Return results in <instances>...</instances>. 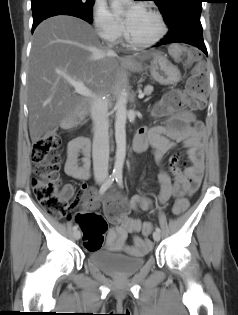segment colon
<instances>
[{
    "label": "colon",
    "mask_w": 238,
    "mask_h": 315,
    "mask_svg": "<svg viewBox=\"0 0 238 315\" xmlns=\"http://www.w3.org/2000/svg\"><path fill=\"white\" fill-rule=\"evenodd\" d=\"M170 55L178 62H196L194 73L185 90L174 89L169 91L155 108V114L161 115L175 109L198 110L206 102V74L203 66L198 62L200 54L195 50H188L181 45H171ZM60 136L55 127L47 131L36 140L32 149V162L36 176L32 179V190L40 206L54 215L69 214L68 202L59 196L60 187ZM187 199H178L172 208L175 215L187 210ZM110 218L122 223L128 217L129 207L120 199H110L106 203ZM75 221L83 231V243L87 250L98 249L103 243L107 231V222L103 216L95 212H82L75 216ZM153 226L145 222L142 234L149 236Z\"/></svg>",
    "instance_id": "5ec220e1"
}]
</instances>
